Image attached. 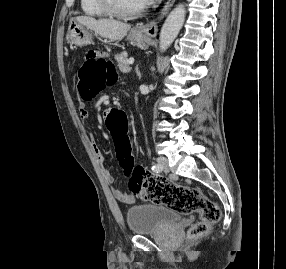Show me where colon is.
Returning a JSON list of instances; mask_svg holds the SVG:
<instances>
[{
	"label": "colon",
	"mask_w": 286,
	"mask_h": 269,
	"mask_svg": "<svg viewBox=\"0 0 286 269\" xmlns=\"http://www.w3.org/2000/svg\"><path fill=\"white\" fill-rule=\"evenodd\" d=\"M95 53V54H94ZM87 54V59L78 70L79 90L84 98H94L99 91L116 80L111 64L105 60V52L95 49ZM130 111L122 106L110 108L106 126L111 131L113 155H117L119 164L129 177L128 187L136 196L161 203L181 214L199 212L200 221L189 230L190 238L205 235L210 227L220 219L218 206L208 199L201 190L177 185L170 180L149 174L142 163H135L134 142L130 137Z\"/></svg>",
	"instance_id": "5ec220e1"
}]
</instances>
